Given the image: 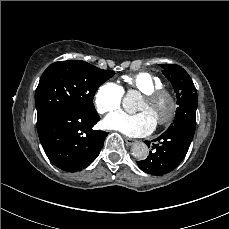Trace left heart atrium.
<instances>
[{"label": "left heart atrium", "instance_id": "39dd6f15", "mask_svg": "<svg viewBox=\"0 0 229 229\" xmlns=\"http://www.w3.org/2000/svg\"><path fill=\"white\" fill-rule=\"evenodd\" d=\"M103 125L107 129L117 130L128 136L142 137L153 131L155 119L144 111L137 114L118 111L108 115Z\"/></svg>", "mask_w": 229, "mask_h": 229}]
</instances>
